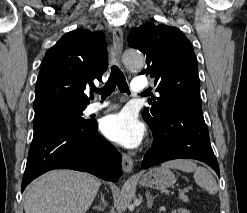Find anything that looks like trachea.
Returning <instances> with one entry per match:
<instances>
[{"label": "trachea", "mask_w": 247, "mask_h": 213, "mask_svg": "<svg viewBox=\"0 0 247 213\" xmlns=\"http://www.w3.org/2000/svg\"><path fill=\"white\" fill-rule=\"evenodd\" d=\"M116 86L119 88L120 92L129 94L128 84L123 73L116 65H113L111 67L110 77L106 84L101 89L93 88L92 91L98 92L101 94V98L105 99L114 92Z\"/></svg>", "instance_id": "1"}]
</instances>
